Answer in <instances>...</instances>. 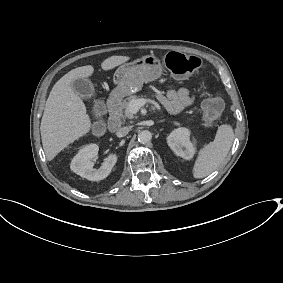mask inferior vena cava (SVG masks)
<instances>
[{
	"label": "inferior vena cava",
	"instance_id": "inferior-vena-cava-1",
	"mask_svg": "<svg viewBox=\"0 0 283 283\" xmlns=\"http://www.w3.org/2000/svg\"><path fill=\"white\" fill-rule=\"evenodd\" d=\"M130 130V127H122L119 129V131L116 132V135L118 137H123V136H126L128 134Z\"/></svg>",
	"mask_w": 283,
	"mask_h": 283
}]
</instances>
